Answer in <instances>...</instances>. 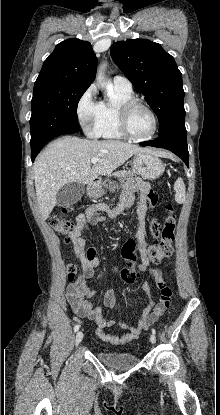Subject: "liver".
Segmentation results:
<instances>
[{
	"mask_svg": "<svg viewBox=\"0 0 220 415\" xmlns=\"http://www.w3.org/2000/svg\"><path fill=\"white\" fill-rule=\"evenodd\" d=\"M149 149L117 140H88L65 136L50 143L34 163L37 202L43 219L56 205L58 191L70 182L91 184L98 176L111 174L132 155ZM166 155L164 152H157ZM98 158L96 164L90 162Z\"/></svg>",
	"mask_w": 220,
	"mask_h": 415,
	"instance_id": "1",
	"label": "liver"
}]
</instances>
